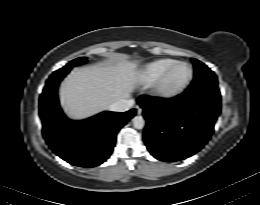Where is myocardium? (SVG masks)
Returning a JSON list of instances; mask_svg holds the SVG:
<instances>
[{
    "mask_svg": "<svg viewBox=\"0 0 260 205\" xmlns=\"http://www.w3.org/2000/svg\"><path fill=\"white\" fill-rule=\"evenodd\" d=\"M180 65H185L189 70V75L187 80L181 84L180 86L169 88L167 86V79L170 75V73ZM193 68L192 66L183 61H177L174 64H172L161 76L160 78L153 84L152 87V93L153 96L161 101H169L172 100L178 96H180L182 93H184L188 87L191 85L193 80Z\"/></svg>",
    "mask_w": 260,
    "mask_h": 205,
    "instance_id": "1",
    "label": "myocardium"
}]
</instances>
